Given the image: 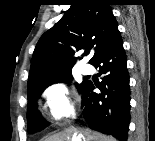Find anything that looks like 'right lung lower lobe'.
<instances>
[{"label":"right lung lower lobe","instance_id":"right-lung-lower-lobe-1","mask_svg":"<svg viewBox=\"0 0 155 141\" xmlns=\"http://www.w3.org/2000/svg\"><path fill=\"white\" fill-rule=\"evenodd\" d=\"M103 75L100 85L87 81L81 90L84 118L90 128L126 140L130 122L127 60L120 32L101 49L94 61ZM95 86L101 93H95Z\"/></svg>","mask_w":155,"mask_h":141}]
</instances>
